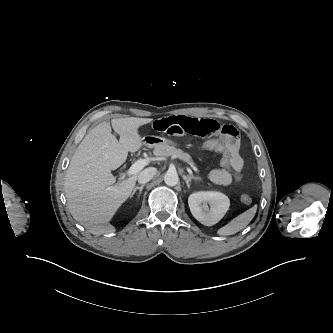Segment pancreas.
<instances>
[{
    "label": "pancreas",
    "instance_id": "cf45deb5",
    "mask_svg": "<svg viewBox=\"0 0 333 333\" xmlns=\"http://www.w3.org/2000/svg\"><path fill=\"white\" fill-rule=\"evenodd\" d=\"M154 154L157 157H168L175 155L189 165H194L193 159L188 153L183 152L181 149L175 148L173 145L166 144L158 146L155 148Z\"/></svg>",
    "mask_w": 333,
    "mask_h": 333
}]
</instances>
